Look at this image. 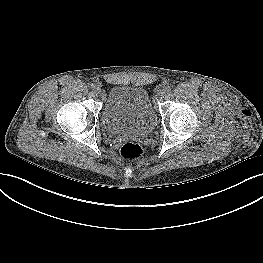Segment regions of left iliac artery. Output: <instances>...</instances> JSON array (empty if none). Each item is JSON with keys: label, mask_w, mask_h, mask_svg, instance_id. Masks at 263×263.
I'll list each match as a JSON object with an SVG mask.
<instances>
[{"label": "left iliac artery", "mask_w": 263, "mask_h": 263, "mask_svg": "<svg viewBox=\"0 0 263 263\" xmlns=\"http://www.w3.org/2000/svg\"><path fill=\"white\" fill-rule=\"evenodd\" d=\"M165 90H166L167 92H169L171 89H170V87H166Z\"/></svg>", "instance_id": "left-iliac-artery-1"}]
</instances>
